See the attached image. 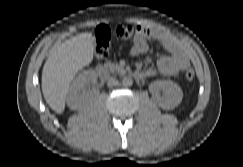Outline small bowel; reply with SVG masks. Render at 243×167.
<instances>
[{
    "label": "small bowel",
    "mask_w": 243,
    "mask_h": 167,
    "mask_svg": "<svg viewBox=\"0 0 243 167\" xmlns=\"http://www.w3.org/2000/svg\"><path fill=\"white\" fill-rule=\"evenodd\" d=\"M158 42L168 54L160 57L156 67H149L144 71L147 77L160 73L163 76H174L189 66L187 50L165 31L149 26H139L132 47L131 55L140 56L148 50L149 41Z\"/></svg>",
    "instance_id": "obj_1"
}]
</instances>
